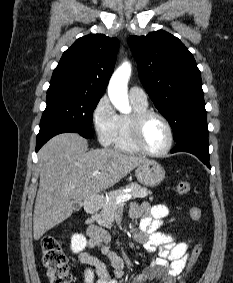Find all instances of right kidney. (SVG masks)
Returning <instances> with one entry per match:
<instances>
[{"label": "right kidney", "mask_w": 233, "mask_h": 283, "mask_svg": "<svg viewBox=\"0 0 233 283\" xmlns=\"http://www.w3.org/2000/svg\"><path fill=\"white\" fill-rule=\"evenodd\" d=\"M86 238L81 234H75L71 238V250L74 253H79L86 247Z\"/></svg>", "instance_id": "1"}]
</instances>
